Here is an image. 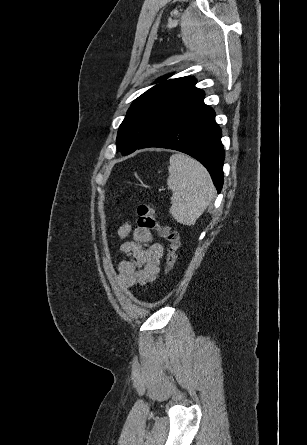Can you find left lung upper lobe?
<instances>
[{
    "mask_svg": "<svg viewBox=\"0 0 307 445\" xmlns=\"http://www.w3.org/2000/svg\"><path fill=\"white\" fill-rule=\"evenodd\" d=\"M139 96L128 109L117 135V148L124 155L134 152L147 138L172 120L200 104L204 92L196 79L181 77L163 81Z\"/></svg>",
    "mask_w": 307,
    "mask_h": 445,
    "instance_id": "left-lung-upper-lobe-1",
    "label": "left lung upper lobe"
}]
</instances>
